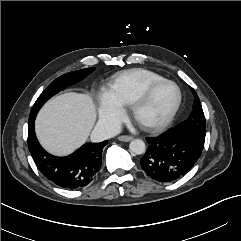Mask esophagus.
I'll use <instances>...</instances> for the list:
<instances>
[{
  "label": "esophagus",
  "mask_w": 241,
  "mask_h": 241,
  "mask_svg": "<svg viewBox=\"0 0 241 241\" xmlns=\"http://www.w3.org/2000/svg\"><path fill=\"white\" fill-rule=\"evenodd\" d=\"M133 139L132 136H129V135H122V136H119L118 137V140L119 141H123V142H129Z\"/></svg>",
  "instance_id": "obj_1"
}]
</instances>
